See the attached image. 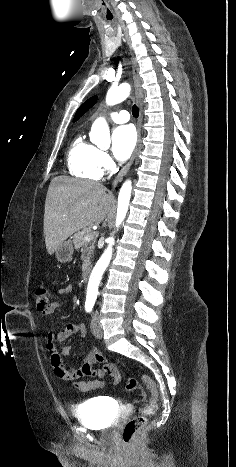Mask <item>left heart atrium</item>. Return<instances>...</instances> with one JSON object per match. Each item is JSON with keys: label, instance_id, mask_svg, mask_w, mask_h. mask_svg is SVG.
I'll return each instance as SVG.
<instances>
[{"label": "left heart atrium", "instance_id": "left-heart-atrium-1", "mask_svg": "<svg viewBox=\"0 0 236 467\" xmlns=\"http://www.w3.org/2000/svg\"><path fill=\"white\" fill-rule=\"evenodd\" d=\"M136 143V135L132 126L121 125L112 132V154L116 160L123 162L131 155Z\"/></svg>", "mask_w": 236, "mask_h": 467}]
</instances>
